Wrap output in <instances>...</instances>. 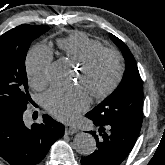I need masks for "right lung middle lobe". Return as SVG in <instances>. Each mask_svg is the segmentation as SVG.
I'll return each instance as SVG.
<instances>
[{"instance_id":"1","label":"right lung middle lobe","mask_w":165,"mask_h":165,"mask_svg":"<svg viewBox=\"0 0 165 165\" xmlns=\"http://www.w3.org/2000/svg\"><path fill=\"white\" fill-rule=\"evenodd\" d=\"M49 30L20 25L0 36V112L25 111L31 102L25 58L31 42Z\"/></svg>"}]
</instances>
